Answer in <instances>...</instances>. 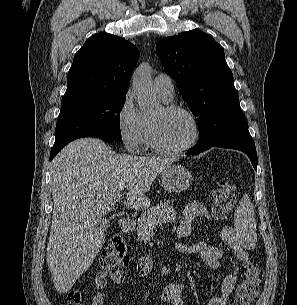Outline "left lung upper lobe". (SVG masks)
<instances>
[{"label":"left lung upper lobe","mask_w":297,"mask_h":305,"mask_svg":"<svg viewBox=\"0 0 297 305\" xmlns=\"http://www.w3.org/2000/svg\"><path fill=\"white\" fill-rule=\"evenodd\" d=\"M156 51L197 117L200 139L195 147L203 139L216 142L245 125L224 51L211 36L198 30L183 32L159 40Z\"/></svg>","instance_id":"left-lung-upper-lobe-1"}]
</instances>
